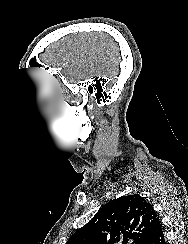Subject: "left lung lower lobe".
Returning <instances> with one entry per match:
<instances>
[{
    "label": "left lung lower lobe",
    "mask_w": 188,
    "mask_h": 244,
    "mask_svg": "<svg viewBox=\"0 0 188 244\" xmlns=\"http://www.w3.org/2000/svg\"><path fill=\"white\" fill-rule=\"evenodd\" d=\"M146 244H166L163 228L159 217L152 225Z\"/></svg>",
    "instance_id": "left-lung-lower-lobe-1"
}]
</instances>
